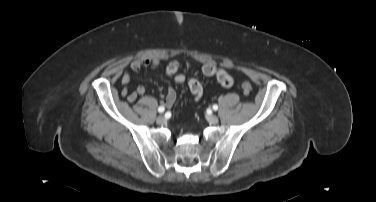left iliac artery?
<instances>
[{
  "mask_svg": "<svg viewBox=\"0 0 376 202\" xmlns=\"http://www.w3.org/2000/svg\"><path fill=\"white\" fill-rule=\"evenodd\" d=\"M218 109V106L215 104V105H213V110H217Z\"/></svg>",
  "mask_w": 376,
  "mask_h": 202,
  "instance_id": "left-iliac-artery-1",
  "label": "left iliac artery"
}]
</instances>
